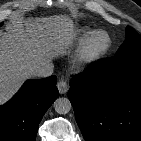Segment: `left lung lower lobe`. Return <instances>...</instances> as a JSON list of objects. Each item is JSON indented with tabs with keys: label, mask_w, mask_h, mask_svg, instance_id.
Here are the masks:
<instances>
[{
	"label": "left lung lower lobe",
	"mask_w": 141,
	"mask_h": 141,
	"mask_svg": "<svg viewBox=\"0 0 141 141\" xmlns=\"http://www.w3.org/2000/svg\"><path fill=\"white\" fill-rule=\"evenodd\" d=\"M70 87L86 141H141V52L92 63Z\"/></svg>",
	"instance_id": "obj_1"
}]
</instances>
